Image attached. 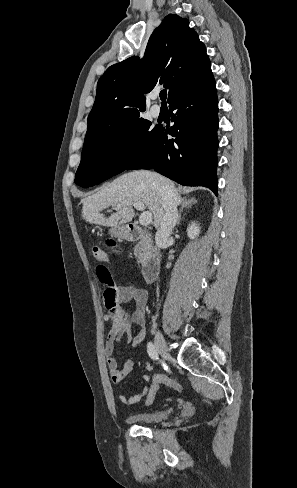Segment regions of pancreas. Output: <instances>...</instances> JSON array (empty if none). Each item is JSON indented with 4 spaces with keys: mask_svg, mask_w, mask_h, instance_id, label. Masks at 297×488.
Here are the masks:
<instances>
[{
    "mask_svg": "<svg viewBox=\"0 0 297 488\" xmlns=\"http://www.w3.org/2000/svg\"><path fill=\"white\" fill-rule=\"evenodd\" d=\"M134 254L138 259V264H144L150 255L149 241L142 240L134 248Z\"/></svg>",
    "mask_w": 297,
    "mask_h": 488,
    "instance_id": "obj_1",
    "label": "pancreas"
}]
</instances>
